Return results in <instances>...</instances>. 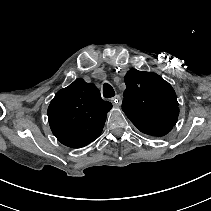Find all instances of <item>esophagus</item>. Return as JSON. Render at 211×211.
<instances>
[{
  "mask_svg": "<svg viewBox=\"0 0 211 211\" xmlns=\"http://www.w3.org/2000/svg\"><path fill=\"white\" fill-rule=\"evenodd\" d=\"M113 105L119 107L122 104V99L119 95H116L114 98L111 99Z\"/></svg>",
  "mask_w": 211,
  "mask_h": 211,
  "instance_id": "1",
  "label": "esophagus"
}]
</instances>
